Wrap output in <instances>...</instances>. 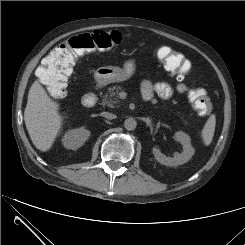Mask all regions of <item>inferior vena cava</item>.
Returning a JSON list of instances; mask_svg holds the SVG:
<instances>
[{
	"label": "inferior vena cava",
	"mask_w": 245,
	"mask_h": 245,
	"mask_svg": "<svg viewBox=\"0 0 245 245\" xmlns=\"http://www.w3.org/2000/svg\"><path fill=\"white\" fill-rule=\"evenodd\" d=\"M102 116L105 117V118H107V119H110V120L116 118V116L114 114L109 113V112H102Z\"/></svg>",
	"instance_id": "602c4592"
}]
</instances>
